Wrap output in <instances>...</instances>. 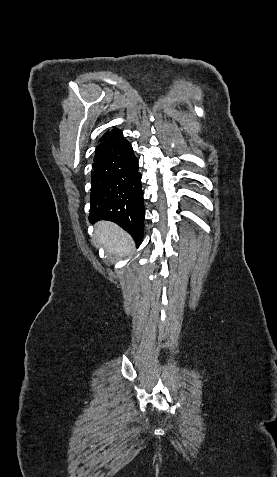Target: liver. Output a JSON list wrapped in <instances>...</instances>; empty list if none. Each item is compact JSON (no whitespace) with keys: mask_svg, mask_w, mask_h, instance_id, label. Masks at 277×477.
Here are the masks:
<instances>
[{"mask_svg":"<svg viewBox=\"0 0 277 477\" xmlns=\"http://www.w3.org/2000/svg\"><path fill=\"white\" fill-rule=\"evenodd\" d=\"M94 240L107 252L118 257L128 255L132 249L130 236L118 225L108 221H100L95 225Z\"/></svg>","mask_w":277,"mask_h":477,"instance_id":"obj_1","label":"liver"}]
</instances>
